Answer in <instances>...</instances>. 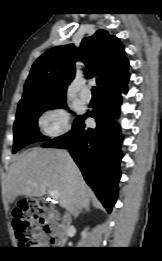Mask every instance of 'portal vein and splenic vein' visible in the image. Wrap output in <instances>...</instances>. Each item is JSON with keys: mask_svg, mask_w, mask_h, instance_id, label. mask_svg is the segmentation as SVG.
I'll use <instances>...</instances> for the list:
<instances>
[{"mask_svg": "<svg viewBox=\"0 0 162 261\" xmlns=\"http://www.w3.org/2000/svg\"><path fill=\"white\" fill-rule=\"evenodd\" d=\"M32 185H35V183H32ZM48 194L54 200H58L60 196V193L58 191L51 189H48Z\"/></svg>", "mask_w": 162, "mask_h": 261, "instance_id": "1", "label": "portal vein and splenic vein"}]
</instances>
